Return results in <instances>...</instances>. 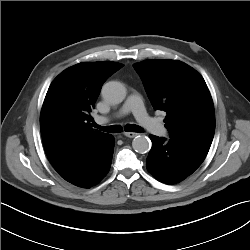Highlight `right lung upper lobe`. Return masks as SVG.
Returning <instances> with one entry per match:
<instances>
[{
  "instance_id": "right-lung-upper-lobe-1",
  "label": "right lung upper lobe",
  "mask_w": 250,
  "mask_h": 250,
  "mask_svg": "<svg viewBox=\"0 0 250 250\" xmlns=\"http://www.w3.org/2000/svg\"><path fill=\"white\" fill-rule=\"evenodd\" d=\"M122 67L123 64L106 61L79 63L52 82L42 106L40 129L53 167L107 135L92 129L90 112L103 83Z\"/></svg>"
}]
</instances>
